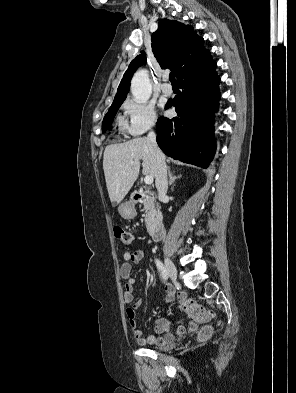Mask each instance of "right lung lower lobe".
<instances>
[{"label":"right lung lower lobe","mask_w":296,"mask_h":393,"mask_svg":"<svg viewBox=\"0 0 296 393\" xmlns=\"http://www.w3.org/2000/svg\"><path fill=\"white\" fill-rule=\"evenodd\" d=\"M216 66L205 50L177 77L182 92L169 99L165 107L175 106L177 117L157 121V143L162 151L203 168L209 166L216 150L213 125L220 99Z\"/></svg>","instance_id":"obj_1"}]
</instances>
